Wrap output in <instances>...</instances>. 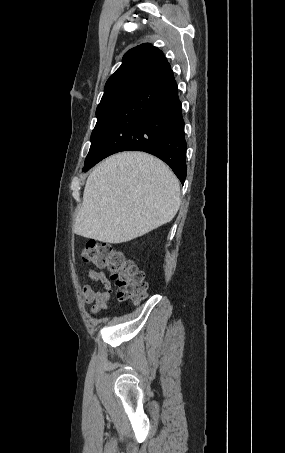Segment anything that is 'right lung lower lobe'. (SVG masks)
I'll use <instances>...</instances> for the list:
<instances>
[{
	"label": "right lung lower lobe",
	"mask_w": 285,
	"mask_h": 453,
	"mask_svg": "<svg viewBox=\"0 0 285 453\" xmlns=\"http://www.w3.org/2000/svg\"><path fill=\"white\" fill-rule=\"evenodd\" d=\"M186 149L182 104L173 71L168 69L129 98L83 171L120 151H144L167 163L183 184Z\"/></svg>",
	"instance_id": "right-lung-lower-lobe-1"
}]
</instances>
